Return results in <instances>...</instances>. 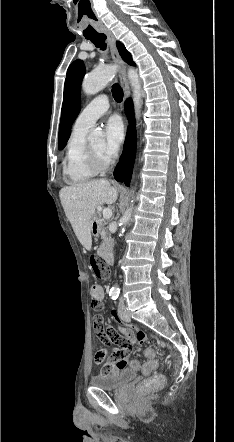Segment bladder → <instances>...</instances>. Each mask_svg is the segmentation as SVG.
<instances>
[{"label": "bladder", "mask_w": 234, "mask_h": 442, "mask_svg": "<svg viewBox=\"0 0 234 442\" xmlns=\"http://www.w3.org/2000/svg\"><path fill=\"white\" fill-rule=\"evenodd\" d=\"M136 377L132 368L99 373L91 377L90 382L94 387L102 390H116L128 384Z\"/></svg>", "instance_id": "bladder-1"}]
</instances>
